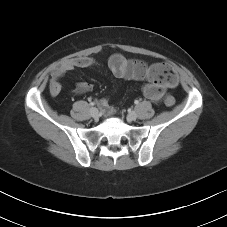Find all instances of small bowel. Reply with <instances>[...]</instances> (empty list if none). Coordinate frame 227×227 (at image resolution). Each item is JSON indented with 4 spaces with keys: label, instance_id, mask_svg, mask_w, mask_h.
Returning a JSON list of instances; mask_svg holds the SVG:
<instances>
[{
    "label": "small bowel",
    "instance_id": "small-bowel-1",
    "mask_svg": "<svg viewBox=\"0 0 227 227\" xmlns=\"http://www.w3.org/2000/svg\"><path fill=\"white\" fill-rule=\"evenodd\" d=\"M97 65L95 59L87 56L75 57L56 67L51 72L50 92L56 96L61 90L60 80L69 71L76 68H89ZM108 67L116 78L143 81L142 92L144 96L153 102H160L165 90L174 86L160 80L152 65H147L143 61L129 59L121 54H114L108 60ZM92 90V85L87 82L78 83L75 92L78 94L87 93ZM100 106L107 112H112V108L105 99L100 100Z\"/></svg>",
    "mask_w": 227,
    "mask_h": 227
}]
</instances>
